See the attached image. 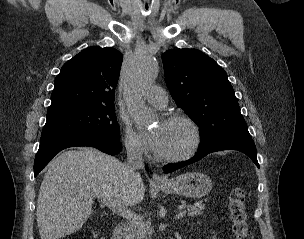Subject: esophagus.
<instances>
[{
    "mask_svg": "<svg viewBox=\"0 0 304 239\" xmlns=\"http://www.w3.org/2000/svg\"><path fill=\"white\" fill-rule=\"evenodd\" d=\"M151 180H152L153 183H156V184H160V183L165 182V179L162 176H160L159 174L155 173V172H153Z\"/></svg>",
    "mask_w": 304,
    "mask_h": 239,
    "instance_id": "obj_1",
    "label": "esophagus"
}]
</instances>
